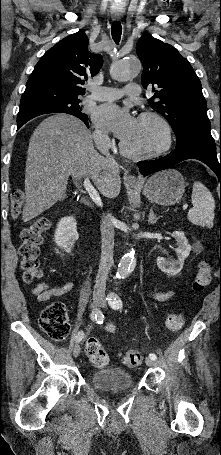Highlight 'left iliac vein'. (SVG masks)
Listing matches in <instances>:
<instances>
[{
  "label": "left iliac vein",
  "mask_w": 221,
  "mask_h": 455,
  "mask_svg": "<svg viewBox=\"0 0 221 455\" xmlns=\"http://www.w3.org/2000/svg\"><path fill=\"white\" fill-rule=\"evenodd\" d=\"M101 307L102 308H106L107 307V301L106 299H103V301L101 302ZM145 362H146V365L147 366H154L155 365V361L153 359H151L150 357L149 358H146L145 359Z\"/></svg>",
  "instance_id": "left-iliac-vein-1"
}]
</instances>
